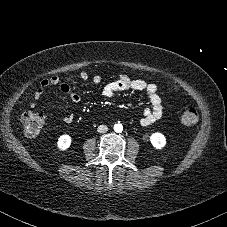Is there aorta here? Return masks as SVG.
I'll return each instance as SVG.
<instances>
[{
    "mask_svg": "<svg viewBox=\"0 0 227 227\" xmlns=\"http://www.w3.org/2000/svg\"><path fill=\"white\" fill-rule=\"evenodd\" d=\"M115 132H121L123 130V126L121 124L114 125Z\"/></svg>",
    "mask_w": 227,
    "mask_h": 227,
    "instance_id": "aorta-1",
    "label": "aorta"
}]
</instances>
